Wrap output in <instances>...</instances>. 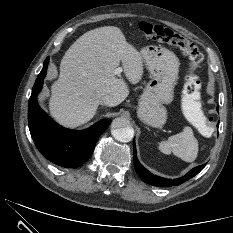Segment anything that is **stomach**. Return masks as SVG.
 Masks as SVG:
<instances>
[{
  "mask_svg": "<svg viewBox=\"0 0 233 233\" xmlns=\"http://www.w3.org/2000/svg\"><path fill=\"white\" fill-rule=\"evenodd\" d=\"M140 53L151 79L139 99L137 115L143 123L161 127L167 120L164 104L171 103L174 97L179 60L170 50L155 45L142 48Z\"/></svg>",
  "mask_w": 233,
  "mask_h": 233,
  "instance_id": "1",
  "label": "stomach"
}]
</instances>
